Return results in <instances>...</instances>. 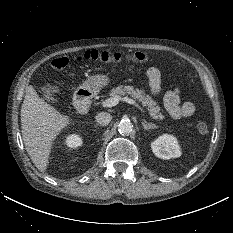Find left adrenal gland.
<instances>
[{"instance_id":"left-adrenal-gland-1","label":"left adrenal gland","mask_w":233,"mask_h":233,"mask_svg":"<svg viewBox=\"0 0 233 233\" xmlns=\"http://www.w3.org/2000/svg\"><path fill=\"white\" fill-rule=\"evenodd\" d=\"M142 125H143L144 130L157 129L158 128V126H156L155 124L147 123L146 121H143Z\"/></svg>"}]
</instances>
